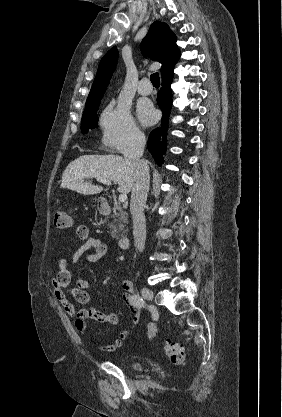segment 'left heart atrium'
Listing matches in <instances>:
<instances>
[{"instance_id":"left-heart-atrium-1","label":"left heart atrium","mask_w":282,"mask_h":417,"mask_svg":"<svg viewBox=\"0 0 282 417\" xmlns=\"http://www.w3.org/2000/svg\"><path fill=\"white\" fill-rule=\"evenodd\" d=\"M138 115L142 122L149 123L154 120L155 112L151 107L140 106L138 109Z\"/></svg>"}]
</instances>
